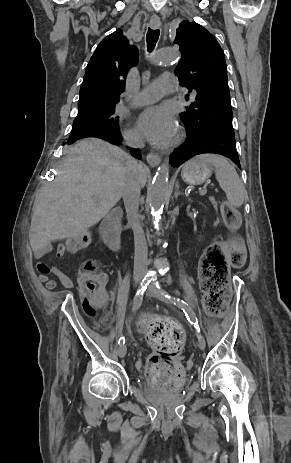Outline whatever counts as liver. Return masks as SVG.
<instances>
[{"label":"liver","mask_w":291,"mask_h":463,"mask_svg":"<svg viewBox=\"0 0 291 463\" xmlns=\"http://www.w3.org/2000/svg\"><path fill=\"white\" fill-rule=\"evenodd\" d=\"M130 174V156L101 139L87 138L65 151L55 180L39 193L30 226L33 251L75 237L97 224L121 199ZM142 187L147 169L138 171Z\"/></svg>","instance_id":"6515ba94"}]
</instances>
